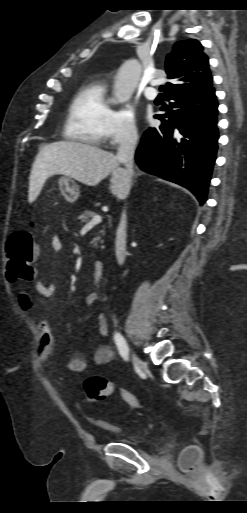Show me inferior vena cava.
<instances>
[{"instance_id": "602c4592", "label": "inferior vena cava", "mask_w": 247, "mask_h": 513, "mask_svg": "<svg viewBox=\"0 0 247 513\" xmlns=\"http://www.w3.org/2000/svg\"><path fill=\"white\" fill-rule=\"evenodd\" d=\"M138 134L135 127L126 128L121 136L120 144L117 150V159L126 166V172L129 176L133 175V158L137 142ZM126 196H122L124 199ZM126 211L124 210L121 215V221L117 230V237L115 242V252L118 263L122 264L126 255Z\"/></svg>"}]
</instances>
